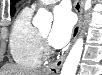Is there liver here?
I'll return each instance as SVG.
<instances>
[{
    "label": "liver",
    "mask_w": 102,
    "mask_h": 75,
    "mask_svg": "<svg viewBox=\"0 0 102 75\" xmlns=\"http://www.w3.org/2000/svg\"><path fill=\"white\" fill-rule=\"evenodd\" d=\"M0 75H42L38 70H28L15 64H6L0 69Z\"/></svg>",
    "instance_id": "6515ba94"
}]
</instances>
